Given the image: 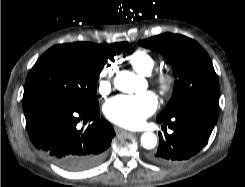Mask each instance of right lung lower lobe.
I'll return each mask as SVG.
<instances>
[{
	"label": "right lung lower lobe",
	"instance_id": "obj_1",
	"mask_svg": "<svg viewBox=\"0 0 245 187\" xmlns=\"http://www.w3.org/2000/svg\"><path fill=\"white\" fill-rule=\"evenodd\" d=\"M99 113V107L65 102H45L24 110L34 146L68 171L87 170L104 158L115 132ZM87 120L92 124L79 129L78 123Z\"/></svg>",
	"mask_w": 245,
	"mask_h": 187
}]
</instances>
